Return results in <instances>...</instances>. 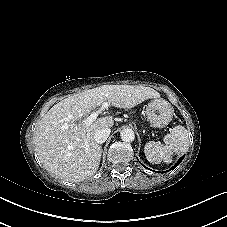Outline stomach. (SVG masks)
<instances>
[{
	"instance_id": "0dacf381",
	"label": "stomach",
	"mask_w": 227,
	"mask_h": 227,
	"mask_svg": "<svg viewBox=\"0 0 227 227\" xmlns=\"http://www.w3.org/2000/svg\"><path fill=\"white\" fill-rule=\"evenodd\" d=\"M174 109L164 99L152 100L146 109L147 121L153 128H163L172 120Z\"/></svg>"
}]
</instances>
